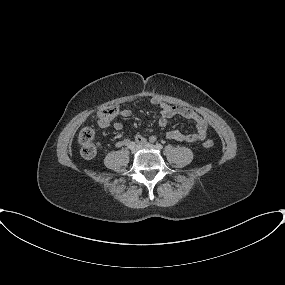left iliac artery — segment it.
I'll use <instances>...</instances> for the list:
<instances>
[{
	"mask_svg": "<svg viewBox=\"0 0 285 285\" xmlns=\"http://www.w3.org/2000/svg\"><path fill=\"white\" fill-rule=\"evenodd\" d=\"M157 149L161 150L163 146L161 144H156Z\"/></svg>",
	"mask_w": 285,
	"mask_h": 285,
	"instance_id": "left-iliac-artery-1",
	"label": "left iliac artery"
}]
</instances>
